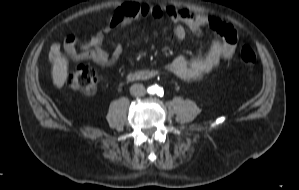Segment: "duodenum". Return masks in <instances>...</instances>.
<instances>
[{"label": "duodenum", "instance_id": "duodenum-1", "mask_svg": "<svg viewBox=\"0 0 299 190\" xmlns=\"http://www.w3.org/2000/svg\"><path fill=\"white\" fill-rule=\"evenodd\" d=\"M157 71L154 69H141L128 74L130 80L139 81L154 77Z\"/></svg>", "mask_w": 299, "mask_h": 190}]
</instances>
